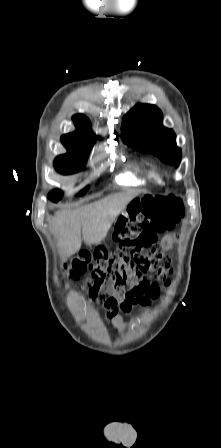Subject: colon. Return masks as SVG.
<instances>
[{
    "instance_id": "obj_1",
    "label": "colon",
    "mask_w": 221,
    "mask_h": 448,
    "mask_svg": "<svg viewBox=\"0 0 221 448\" xmlns=\"http://www.w3.org/2000/svg\"><path fill=\"white\" fill-rule=\"evenodd\" d=\"M129 213L117 222L115 236L121 249L82 251L71 258L68 268L72 278L90 271L92 296L117 289L131 304L145 306L159 294L157 283L149 278L168 283L172 274L170 260L159 249L157 233L174 227L184 215V206L176 196L147 195L134 202Z\"/></svg>"
}]
</instances>
